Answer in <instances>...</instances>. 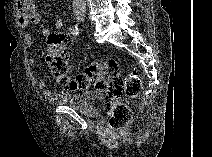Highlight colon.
I'll use <instances>...</instances> for the list:
<instances>
[{
  "label": "colon",
  "instance_id": "colon-1",
  "mask_svg": "<svg viewBox=\"0 0 212 157\" xmlns=\"http://www.w3.org/2000/svg\"><path fill=\"white\" fill-rule=\"evenodd\" d=\"M72 39L68 35L52 34L47 40L46 63L56 80L71 90L93 86L108 95L120 98L135 97L141 90V80L135 71H129L124 76L115 60H105L88 65L77 76H71L68 65V49ZM130 108L123 103H116L109 119V127L119 130L131 120Z\"/></svg>",
  "mask_w": 212,
  "mask_h": 157
}]
</instances>
